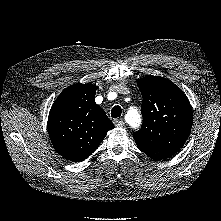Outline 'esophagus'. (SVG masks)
Masks as SVG:
<instances>
[{
    "label": "esophagus",
    "mask_w": 221,
    "mask_h": 221,
    "mask_svg": "<svg viewBox=\"0 0 221 221\" xmlns=\"http://www.w3.org/2000/svg\"><path fill=\"white\" fill-rule=\"evenodd\" d=\"M114 124L116 127H123L125 123L122 119H115Z\"/></svg>",
    "instance_id": "34e87169"
}]
</instances>
